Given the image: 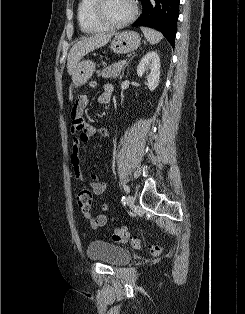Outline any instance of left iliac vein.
<instances>
[{
  "label": "left iliac vein",
  "mask_w": 245,
  "mask_h": 314,
  "mask_svg": "<svg viewBox=\"0 0 245 314\" xmlns=\"http://www.w3.org/2000/svg\"><path fill=\"white\" fill-rule=\"evenodd\" d=\"M134 197L132 195H128L127 198H126V202L127 204L131 207L134 205Z\"/></svg>",
  "instance_id": "obj_1"
}]
</instances>
